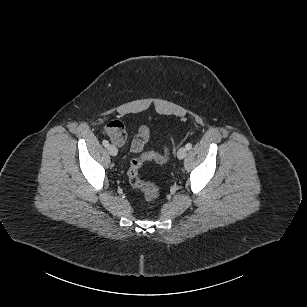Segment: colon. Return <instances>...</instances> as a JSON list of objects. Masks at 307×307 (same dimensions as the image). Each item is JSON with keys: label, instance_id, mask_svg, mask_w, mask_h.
<instances>
[{"label": "colon", "instance_id": "1", "mask_svg": "<svg viewBox=\"0 0 307 307\" xmlns=\"http://www.w3.org/2000/svg\"><path fill=\"white\" fill-rule=\"evenodd\" d=\"M169 157V148L166 147L163 154L149 152L133 159L128 168V180L133 188L140 190L143 193L145 201H151L158 197V187L149 182L143 181L139 177V169L145 161H155L157 163H165Z\"/></svg>", "mask_w": 307, "mask_h": 307}]
</instances>
